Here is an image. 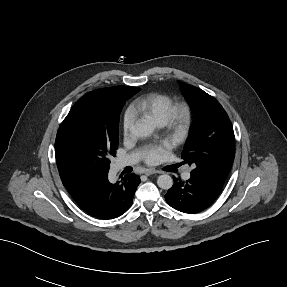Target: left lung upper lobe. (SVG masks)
Masks as SVG:
<instances>
[{"label": "left lung upper lobe", "instance_id": "obj_1", "mask_svg": "<svg viewBox=\"0 0 287 287\" xmlns=\"http://www.w3.org/2000/svg\"><path fill=\"white\" fill-rule=\"evenodd\" d=\"M182 90L195 111V122L182 152L193 173L224 184L235 154V136L220 103L203 90L182 83Z\"/></svg>", "mask_w": 287, "mask_h": 287}]
</instances>
